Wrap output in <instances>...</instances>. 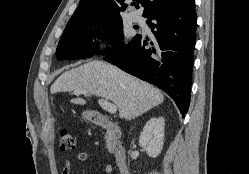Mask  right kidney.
Masks as SVG:
<instances>
[{"label": "right kidney", "instance_id": "1", "mask_svg": "<svg viewBox=\"0 0 249 174\" xmlns=\"http://www.w3.org/2000/svg\"><path fill=\"white\" fill-rule=\"evenodd\" d=\"M164 126L165 120L163 117H154L151 118L143 128L139 137V145L150 157L156 158L162 151Z\"/></svg>", "mask_w": 249, "mask_h": 174}]
</instances>
